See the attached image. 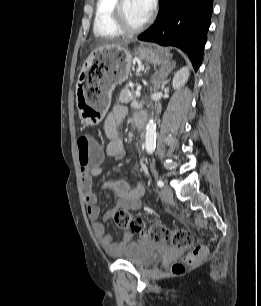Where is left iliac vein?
Listing matches in <instances>:
<instances>
[{
  "instance_id": "obj_1",
  "label": "left iliac vein",
  "mask_w": 261,
  "mask_h": 306,
  "mask_svg": "<svg viewBox=\"0 0 261 306\" xmlns=\"http://www.w3.org/2000/svg\"><path fill=\"white\" fill-rule=\"evenodd\" d=\"M161 197L165 201H169L173 197V191L172 188L168 183L165 184V186L161 190Z\"/></svg>"
}]
</instances>
